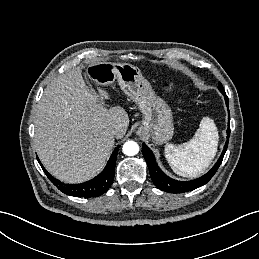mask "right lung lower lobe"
Instances as JSON below:
<instances>
[{"instance_id":"obj_1","label":"right lung lower lobe","mask_w":259,"mask_h":259,"mask_svg":"<svg viewBox=\"0 0 259 259\" xmlns=\"http://www.w3.org/2000/svg\"><path fill=\"white\" fill-rule=\"evenodd\" d=\"M119 147L120 146H117L114 149L104 171H102L94 179L81 184L62 183L61 181L54 178L51 174H49L46 169L43 168V165L40 163L39 159H37L49 180L64 194L75 197H97L105 193L113 182L116 157Z\"/></svg>"}]
</instances>
